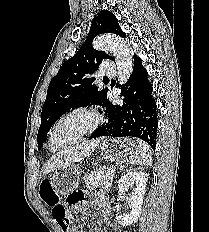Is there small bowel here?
Instances as JSON below:
<instances>
[{
  "instance_id": "small-bowel-1",
  "label": "small bowel",
  "mask_w": 209,
  "mask_h": 232,
  "mask_svg": "<svg viewBox=\"0 0 209 232\" xmlns=\"http://www.w3.org/2000/svg\"><path fill=\"white\" fill-rule=\"evenodd\" d=\"M80 190H70V194L66 195L64 201V209L66 213H79V208H82L85 199H87V190L85 185L79 186ZM95 207L99 209L105 219L110 215L108 199L105 195L100 194L94 203ZM65 232H83L76 227H67ZM97 232H101L97 230Z\"/></svg>"
}]
</instances>
